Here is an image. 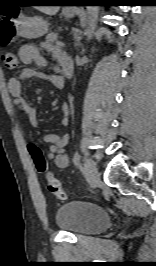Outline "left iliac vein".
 <instances>
[{
	"instance_id": "left-iliac-vein-1",
	"label": "left iliac vein",
	"mask_w": 156,
	"mask_h": 266,
	"mask_svg": "<svg viewBox=\"0 0 156 266\" xmlns=\"http://www.w3.org/2000/svg\"><path fill=\"white\" fill-rule=\"evenodd\" d=\"M84 171L89 180L90 186L96 188L99 184L100 177L95 162L87 158L84 162Z\"/></svg>"
}]
</instances>
